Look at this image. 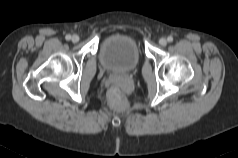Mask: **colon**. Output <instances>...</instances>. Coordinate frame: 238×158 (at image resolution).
<instances>
[{
    "instance_id": "colon-1",
    "label": "colon",
    "mask_w": 238,
    "mask_h": 158,
    "mask_svg": "<svg viewBox=\"0 0 238 158\" xmlns=\"http://www.w3.org/2000/svg\"><path fill=\"white\" fill-rule=\"evenodd\" d=\"M108 101L111 105L116 107H123L126 104L125 97L121 90L114 86L109 90Z\"/></svg>"
}]
</instances>
